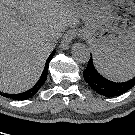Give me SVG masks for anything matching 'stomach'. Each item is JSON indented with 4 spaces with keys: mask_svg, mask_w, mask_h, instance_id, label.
<instances>
[{
    "mask_svg": "<svg viewBox=\"0 0 135 135\" xmlns=\"http://www.w3.org/2000/svg\"><path fill=\"white\" fill-rule=\"evenodd\" d=\"M85 21L83 36L94 57L117 62L135 56V3L133 0H65Z\"/></svg>",
    "mask_w": 135,
    "mask_h": 135,
    "instance_id": "obj_1",
    "label": "stomach"
}]
</instances>
